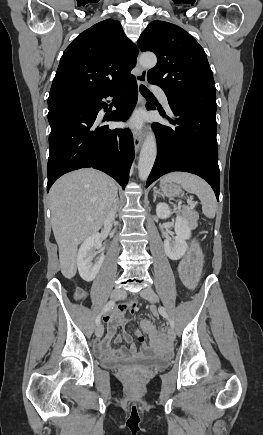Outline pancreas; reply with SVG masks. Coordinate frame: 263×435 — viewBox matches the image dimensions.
Masks as SVG:
<instances>
[{
	"mask_svg": "<svg viewBox=\"0 0 263 435\" xmlns=\"http://www.w3.org/2000/svg\"><path fill=\"white\" fill-rule=\"evenodd\" d=\"M183 215L189 220V222L191 223L192 226L197 225L199 215L195 210L189 209V207H186L185 210L183 211Z\"/></svg>",
	"mask_w": 263,
	"mask_h": 435,
	"instance_id": "obj_1",
	"label": "pancreas"
}]
</instances>
